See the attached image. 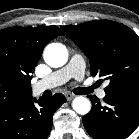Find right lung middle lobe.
<instances>
[{
    "label": "right lung middle lobe",
    "instance_id": "1",
    "mask_svg": "<svg viewBox=\"0 0 139 139\" xmlns=\"http://www.w3.org/2000/svg\"><path fill=\"white\" fill-rule=\"evenodd\" d=\"M27 86L7 64L0 62V106L13 104L27 96Z\"/></svg>",
    "mask_w": 139,
    "mask_h": 139
}]
</instances>
